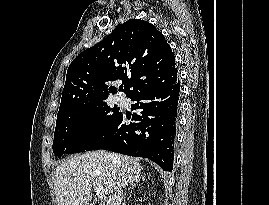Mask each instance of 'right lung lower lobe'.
<instances>
[{"label": "right lung lower lobe", "mask_w": 269, "mask_h": 205, "mask_svg": "<svg viewBox=\"0 0 269 205\" xmlns=\"http://www.w3.org/2000/svg\"><path fill=\"white\" fill-rule=\"evenodd\" d=\"M180 83L152 88L131 97L133 123L121 114L85 151L105 149L145 157L171 172L179 109ZM128 118V117H127Z\"/></svg>", "instance_id": "right-lung-lower-lobe-1"}]
</instances>
